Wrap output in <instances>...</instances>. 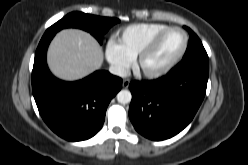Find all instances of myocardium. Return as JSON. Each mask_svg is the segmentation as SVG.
<instances>
[{
	"mask_svg": "<svg viewBox=\"0 0 248 165\" xmlns=\"http://www.w3.org/2000/svg\"><path fill=\"white\" fill-rule=\"evenodd\" d=\"M171 31H179L183 35V43L180 50L164 65L157 69L145 70L141 67L143 59L154 49L160 39ZM188 47V35L180 27L170 26L156 33L137 53L134 59L135 71L146 78H157L169 72L184 56Z\"/></svg>",
	"mask_w": 248,
	"mask_h": 165,
	"instance_id": "obj_1",
	"label": "myocardium"
}]
</instances>
